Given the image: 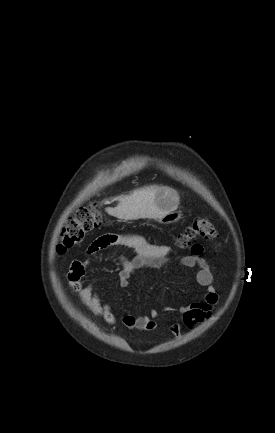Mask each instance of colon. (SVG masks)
I'll return each mask as SVG.
<instances>
[{
  "instance_id": "1",
  "label": "colon",
  "mask_w": 275,
  "mask_h": 433,
  "mask_svg": "<svg viewBox=\"0 0 275 433\" xmlns=\"http://www.w3.org/2000/svg\"><path fill=\"white\" fill-rule=\"evenodd\" d=\"M104 218L97 205L90 208H81L74 218L69 219L62 227L57 251L64 253L81 242L84 235L100 228ZM203 239L209 242H218V233L208 218L199 217L176 238V245L180 248L191 246L196 240Z\"/></svg>"
}]
</instances>
